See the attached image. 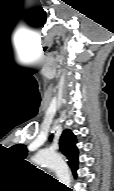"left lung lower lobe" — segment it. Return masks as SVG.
Listing matches in <instances>:
<instances>
[{
	"instance_id": "1",
	"label": "left lung lower lobe",
	"mask_w": 114,
	"mask_h": 191,
	"mask_svg": "<svg viewBox=\"0 0 114 191\" xmlns=\"http://www.w3.org/2000/svg\"><path fill=\"white\" fill-rule=\"evenodd\" d=\"M73 169V173H74V176L76 177L77 176V174H76V170L78 169V167L77 166H75L74 168H72Z\"/></svg>"
}]
</instances>
